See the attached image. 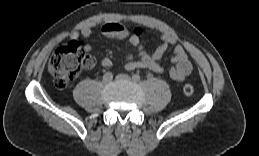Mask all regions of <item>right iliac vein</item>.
I'll return each instance as SVG.
<instances>
[{
    "label": "right iliac vein",
    "mask_w": 259,
    "mask_h": 156,
    "mask_svg": "<svg viewBox=\"0 0 259 156\" xmlns=\"http://www.w3.org/2000/svg\"><path fill=\"white\" fill-rule=\"evenodd\" d=\"M109 82H110L109 79H103V81H102V83H103L104 85L108 84Z\"/></svg>",
    "instance_id": "63e3f726"
}]
</instances>
